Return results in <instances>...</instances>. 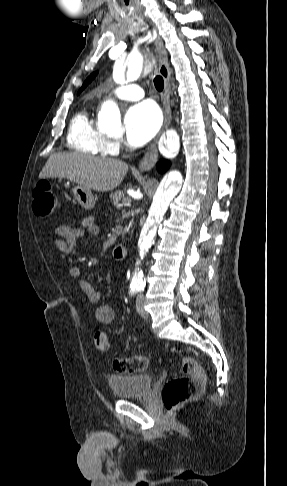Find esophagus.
Segmentation results:
<instances>
[{
    "label": "esophagus",
    "mask_w": 287,
    "mask_h": 486,
    "mask_svg": "<svg viewBox=\"0 0 287 486\" xmlns=\"http://www.w3.org/2000/svg\"><path fill=\"white\" fill-rule=\"evenodd\" d=\"M155 51L157 53V59H158V71L159 74L162 76L164 80V93L162 97L163 101V111H164V121L163 125L161 127L160 132L156 136V138L153 140V142L149 145L147 148V151L145 152L143 158L138 164V168L140 171H149L151 170L154 165L157 162L158 159V148H157V143L159 137L165 132L167 127L171 123V108H170V72L168 68V58H167V53L164 48L163 42L161 41L160 37L157 36L156 41H155Z\"/></svg>",
    "instance_id": "1"
}]
</instances>
